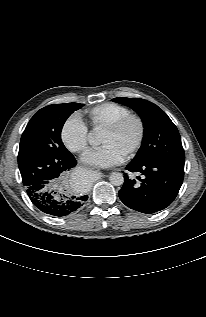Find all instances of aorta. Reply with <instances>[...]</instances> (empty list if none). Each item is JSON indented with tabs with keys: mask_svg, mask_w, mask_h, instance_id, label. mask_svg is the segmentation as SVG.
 Masks as SVG:
<instances>
[{
	"mask_svg": "<svg viewBox=\"0 0 206 317\" xmlns=\"http://www.w3.org/2000/svg\"><path fill=\"white\" fill-rule=\"evenodd\" d=\"M88 141L90 144L96 142L95 137L93 136L92 133H89L88 135ZM109 180L111 182V184H113L114 186H120L124 183V177L122 173L119 172H113L111 173Z\"/></svg>",
	"mask_w": 206,
	"mask_h": 317,
	"instance_id": "762f6f07",
	"label": "aorta"
}]
</instances>
